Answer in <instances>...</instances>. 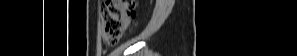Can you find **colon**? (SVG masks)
Wrapping results in <instances>:
<instances>
[{
    "instance_id": "5ec220e1",
    "label": "colon",
    "mask_w": 297,
    "mask_h": 56,
    "mask_svg": "<svg viewBox=\"0 0 297 56\" xmlns=\"http://www.w3.org/2000/svg\"><path fill=\"white\" fill-rule=\"evenodd\" d=\"M135 17V1L107 0L101 5L102 40L113 46L119 42Z\"/></svg>"
}]
</instances>
